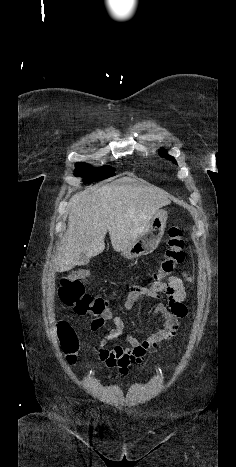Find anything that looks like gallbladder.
Returning a JSON list of instances; mask_svg holds the SVG:
<instances>
[{
  "label": "gallbladder",
  "instance_id": "1",
  "mask_svg": "<svg viewBox=\"0 0 236 467\" xmlns=\"http://www.w3.org/2000/svg\"><path fill=\"white\" fill-rule=\"evenodd\" d=\"M79 261L81 262V265H86L89 263L90 258H88L85 254H81L79 256Z\"/></svg>",
  "mask_w": 236,
  "mask_h": 467
}]
</instances>
